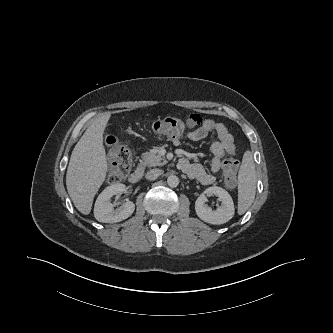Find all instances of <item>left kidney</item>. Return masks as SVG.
I'll return each mask as SVG.
<instances>
[{
  "mask_svg": "<svg viewBox=\"0 0 333 333\" xmlns=\"http://www.w3.org/2000/svg\"><path fill=\"white\" fill-rule=\"evenodd\" d=\"M206 195H216L221 201V206L213 210L205 204ZM197 216L204 222L220 225L228 222L234 216V203L229 193L221 187H209L201 194L195 202Z\"/></svg>",
  "mask_w": 333,
  "mask_h": 333,
  "instance_id": "5707ae66",
  "label": "left kidney"
}]
</instances>
